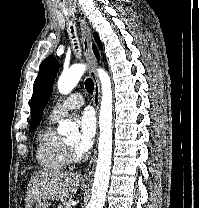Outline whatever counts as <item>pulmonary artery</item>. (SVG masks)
Here are the masks:
<instances>
[{
  "instance_id": "pulmonary-artery-1",
  "label": "pulmonary artery",
  "mask_w": 199,
  "mask_h": 208,
  "mask_svg": "<svg viewBox=\"0 0 199 208\" xmlns=\"http://www.w3.org/2000/svg\"><path fill=\"white\" fill-rule=\"evenodd\" d=\"M84 103L85 99L83 94L80 92H74L63 101L57 103L54 106L50 116L53 118H60L70 110L80 108L84 105Z\"/></svg>"
}]
</instances>
